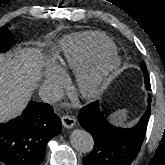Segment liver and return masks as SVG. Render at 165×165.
I'll return each mask as SVG.
<instances>
[{"label": "liver", "instance_id": "1", "mask_svg": "<svg viewBox=\"0 0 165 165\" xmlns=\"http://www.w3.org/2000/svg\"><path fill=\"white\" fill-rule=\"evenodd\" d=\"M44 63L38 50L17 49L0 53V122L21 114L41 77Z\"/></svg>", "mask_w": 165, "mask_h": 165}]
</instances>
